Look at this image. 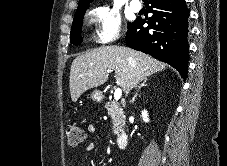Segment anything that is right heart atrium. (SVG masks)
Listing matches in <instances>:
<instances>
[{
  "mask_svg": "<svg viewBox=\"0 0 227 166\" xmlns=\"http://www.w3.org/2000/svg\"><path fill=\"white\" fill-rule=\"evenodd\" d=\"M89 16L95 25L94 36L98 43H111L119 37L121 18L113 9L97 6L90 11Z\"/></svg>",
  "mask_w": 227,
  "mask_h": 166,
  "instance_id": "right-heart-atrium-1",
  "label": "right heart atrium"
}]
</instances>
